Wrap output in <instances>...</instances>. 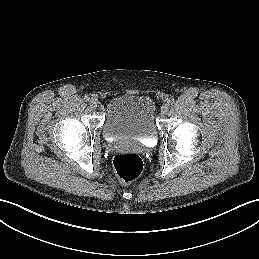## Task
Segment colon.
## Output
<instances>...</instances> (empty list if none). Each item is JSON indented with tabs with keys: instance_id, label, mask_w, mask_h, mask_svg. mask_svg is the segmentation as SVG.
Instances as JSON below:
<instances>
[{
	"instance_id": "1",
	"label": "colon",
	"mask_w": 259,
	"mask_h": 259,
	"mask_svg": "<svg viewBox=\"0 0 259 259\" xmlns=\"http://www.w3.org/2000/svg\"><path fill=\"white\" fill-rule=\"evenodd\" d=\"M141 158L134 153L117 154L113 159V170L118 180L128 184L135 180L142 172Z\"/></svg>"
}]
</instances>
